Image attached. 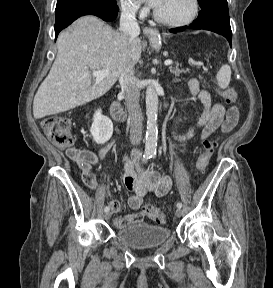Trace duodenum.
<instances>
[{
    "mask_svg": "<svg viewBox=\"0 0 273 288\" xmlns=\"http://www.w3.org/2000/svg\"><path fill=\"white\" fill-rule=\"evenodd\" d=\"M111 115L114 119L118 121H126L127 120V114L122 110L120 104L117 101L112 102L111 104Z\"/></svg>",
    "mask_w": 273,
    "mask_h": 288,
    "instance_id": "obj_1",
    "label": "duodenum"
}]
</instances>
